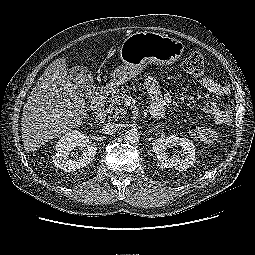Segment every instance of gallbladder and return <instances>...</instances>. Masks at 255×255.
I'll return each instance as SVG.
<instances>
[{
    "label": "gallbladder",
    "instance_id": "obj_1",
    "mask_svg": "<svg viewBox=\"0 0 255 255\" xmlns=\"http://www.w3.org/2000/svg\"><path fill=\"white\" fill-rule=\"evenodd\" d=\"M69 81L72 87L81 95H90L93 90V77L84 66H74L70 68Z\"/></svg>",
    "mask_w": 255,
    "mask_h": 255
}]
</instances>
